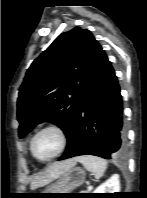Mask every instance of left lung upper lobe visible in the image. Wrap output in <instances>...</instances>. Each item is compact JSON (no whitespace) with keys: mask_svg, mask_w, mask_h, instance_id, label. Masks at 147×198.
<instances>
[{"mask_svg":"<svg viewBox=\"0 0 147 198\" xmlns=\"http://www.w3.org/2000/svg\"><path fill=\"white\" fill-rule=\"evenodd\" d=\"M97 41L87 29L61 33L33 61L19 89L17 118L22 138L50 121L70 133L90 76Z\"/></svg>","mask_w":147,"mask_h":198,"instance_id":"5c2ea615","label":"left lung upper lobe"}]
</instances>
